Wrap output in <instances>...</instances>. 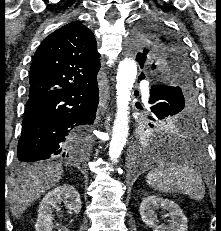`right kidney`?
<instances>
[{"label": "right kidney", "mask_w": 221, "mask_h": 231, "mask_svg": "<svg viewBox=\"0 0 221 231\" xmlns=\"http://www.w3.org/2000/svg\"><path fill=\"white\" fill-rule=\"evenodd\" d=\"M61 202L65 204L69 213L78 214L82 207L80 195L73 186L68 184L57 186L44 196L39 205L36 231H53V211ZM58 231L69 230L62 227Z\"/></svg>", "instance_id": "ca27d5eb"}]
</instances>
